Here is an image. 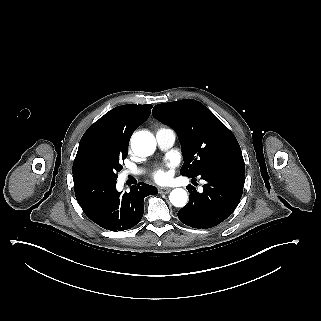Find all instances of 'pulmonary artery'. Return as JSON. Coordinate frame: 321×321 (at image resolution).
Masks as SVG:
<instances>
[{"mask_svg": "<svg viewBox=\"0 0 321 321\" xmlns=\"http://www.w3.org/2000/svg\"><path fill=\"white\" fill-rule=\"evenodd\" d=\"M156 137L159 147L166 150L174 145L176 140V132L171 128H160L156 132ZM141 172V169H137L136 171L126 170L122 176H126L131 173L139 174Z\"/></svg>", "mask_w": 321, "mask_h": 321, "instance_id": "e3ab8cb5", "label": "pulmonary artery"}]
</instances>
